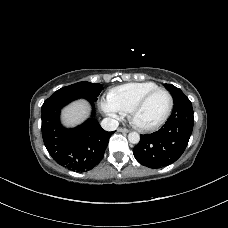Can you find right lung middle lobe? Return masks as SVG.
Wrapping results in <instances>:
<instances>
[{"label":"right lung middle lobe","mask_w":228,"mask_h":228,"mask_svg":"<svg viewBox=\"0 0 228 228\" xmlns=\"http://www.w3.org/2000/svg\"><path fill=\"white\" fill-rule=\"evenodd\" d=\"M102 90V85L99 83H90L87 81L78 82L66 87H62L57 90L54 94L61 96H76L79 98H85L90 102L97 101Z\"/></svg>","instance_id":"right-lung-middle-lobe-1"}]
</instances>
